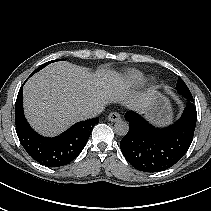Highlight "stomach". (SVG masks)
I'll return each mask as SVG.
<instances>
[{"mask_svg":"<svg viewBox=\"0 0 211 211\" xmlns=\"http://www.w3.org/2000/svg\"><path fill=\"white\" fill-rule=\"evenodd\" d=\"M145 115L150 121L158 125L169 123L172 119V110L167 97L156 91Z\"/></svg>","mask_w":211,"mask_h":211,"instance_id":"obj_1","label":"stomach"}]
</instances>
